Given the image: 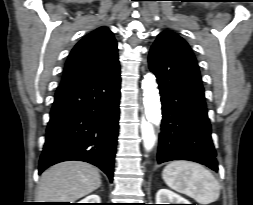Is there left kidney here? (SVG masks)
<instances>
[{"label":"left kidney","mask_w":253,"mask_h":205,"mask_svg":"<svg viewBox=\"0 0 253 205\" xmlns=\"http://www.w3.org/2000/svg\"><path fill=\"white\" fill-rule=\"evenodd\" d=\"M156 204H190V202L175 192L162 188L156 194Z\"/></svg>","instance_id":"1"}]
</instances>
